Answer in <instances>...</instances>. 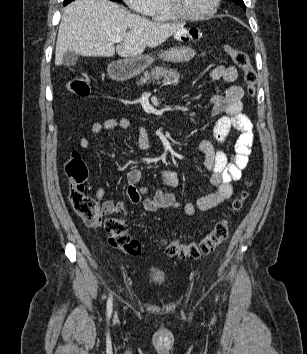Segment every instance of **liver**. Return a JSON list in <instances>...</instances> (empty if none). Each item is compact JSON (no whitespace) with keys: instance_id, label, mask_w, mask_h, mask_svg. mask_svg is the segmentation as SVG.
<instances>
[{"instance_id":"obj_1","label":"liver","mask_w":307,"mask_h":354,"mask_svg":"<svg viewBox=\"0 0 307 354\" xmlns=\"http://www.w3.org/2000/svg\"><path fill=\"white\" fill-rule=\"evenodd\" d=\"M184 27V23H155L131 14L109 0H75L63 12L59 26L55 65L63 55L75 52L86 57L141 55L146 47L154 48ZM120 36L124 42L114 46L110 40Z\"/></svg>"}]
</instances>
